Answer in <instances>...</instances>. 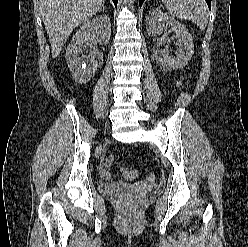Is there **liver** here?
<instances>
[{
	"label": "liver",
	"instance_id": "1",
	"mask_svg": "<svg viewBox=\"0 0 248 247\" xmlns=\"http://www.w3.org/2000/svg\"><path fill=\"white\" fill-rule=\"evenodd\" d=\"M104 0H40L42 19L56 58L72 31L92 17Z\"/></svg>",
	"mask_w": 248,
	"mask_h": 247
}]
</instances>
